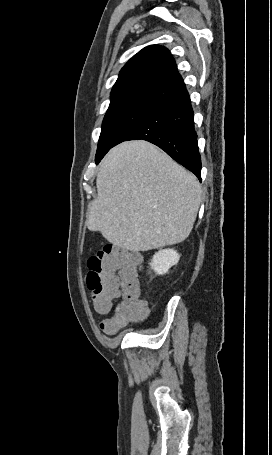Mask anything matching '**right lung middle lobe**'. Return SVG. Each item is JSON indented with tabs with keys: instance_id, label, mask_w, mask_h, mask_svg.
<instances>
[{
	"instance_id": "right-lung-middle-lobe-1",
	"label": "right lung middle lobe",
	"mask_w": 272,
	"mask_h": 455,
	"mask_svg": "<svg viewBox=\"0 0 272 455\" xmlns=\"http://www.w3.org/2000/svg\"><path fill=\"white\" fill-rule=\"evenodd\" d=\"M163 104L165 103L145 98H132L110 103L102 123L96 162L102 159L128 129L148 117Z\"/></svg>"
}]
</instances>
